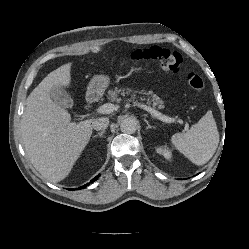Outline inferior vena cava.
Listing matches in <instances>:
<instances>
[{
    "label": "inferior vena cava",
    "mask_w": 249,
    "mask_h": 249,
    "mask_svg": "<svg viewBox=\"0 0 249 249\" xmlns=\"http://www.w3.org/2000/svg\"><path fill=\"white\" fill-rule=\"evenodd\" d=\"M109 125V119L108 118H97L92 121V127L95 130H102L106 129Z\"/></svg>",
    "instance_id": "602c4592"
}]
</instances>
